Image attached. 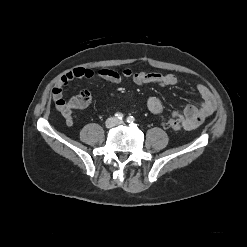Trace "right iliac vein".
<instances>
[{"label": "right iliac vein", "instance_id": "obj_1", "mask_svg": "<svg viewBox=\"0 0 247 247\" xmlns=\"http://www.w3.org/2000/svg\"><path fill=\"white\" fill-rule=\"evenodd\" d=\"M116 125V120L114 118H109L107 119V121L105 122V126L107 128H112L113 126Z\"/></svg>", "mask_w": 247, "mask_h": 247}]
</instances>
